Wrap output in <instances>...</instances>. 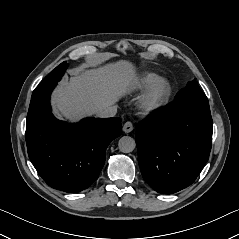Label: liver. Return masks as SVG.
<instances>
[{
	"label": "liver",
	"mask_w": 239,
	"mask_h": 239,
	"mask_svg": "<svg viewBox=\"0 0 239 239\" xmlns=\"http://www.w3.org/2000/svg\"><path fill=\"white\" fill-rule=\"evenodd\" d=\"M137 80L135 69L127 61L81 71L60 83L52 104L60 117L77 120L112 106L130 92Z\"/></svg>",
	"instance_id": "obj_1"
}]
</instances>
